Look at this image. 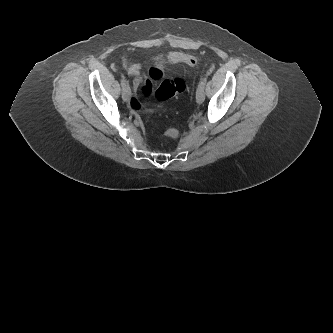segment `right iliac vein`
Listing matches in <instances>:
<instances>
[{"label":"right iliac vein","instance_id":"1","mask_svg":"<svg viewBox=\"0 0 333 333\" xmlns=\"http://www.w3.org/2000/svg\"><path fill=\"white\" fill-rule=\"evenodd\" d=\"M129 94H130L129 87H125L123 89V92H122V98H123L124 101H128L129 100Z\"/></svg>","mask_w":333,"mask_h":333}]
</instances>
